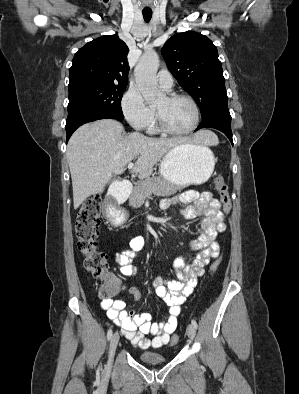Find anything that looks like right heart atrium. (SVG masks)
I'll return each mask as SVG.
<instances>
[{
  "mask_svg": "<svg viewBox=\"0 0 299 394\" xmlns=\"http://www.w3.org/2000/svg\"><path fill=\"white\" fill-rule=\"evenodd\" d=\"M121 105L125 119L136 130L148 129L154 120V110L145 103L141 93L135 87L126 91Z\"/></svg>",
  "mask_w": 299,
  "mask_h": 394,
  "instance_id": "obj_1",
  "label": "right heart atrium"
}]
</instances>
